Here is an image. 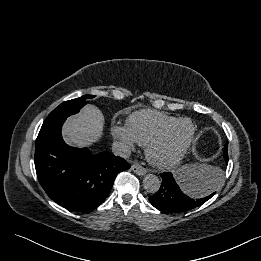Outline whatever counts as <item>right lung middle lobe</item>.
Here are the masks:
<instances>
[{"mask_svg": "<svg viewBox=\"0 0 261 261\" xmlns=\"http://www.w3.org/2000/svg\"><path fill=\"white\" fill-rule=\"evenodd\" d=\"M93 95H84L82 97L65 101L56 107L46 118L45 121L55 118L68 117L79 112V110L86 104V99L93 98Z\"/></svg>", "mask_w": 261, "mask_h": 261, "instance_id": "right-lung-middle-lobe-1", "label": "right lung middle lobe"}]
</instances>
